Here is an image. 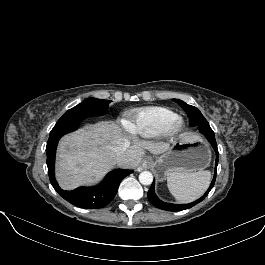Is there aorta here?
<instances>
[{
  "instance_id": "762f6f07",
  "label": "aorta",
  "mask_w": 265,
  "mask_h": 265,
  "mask_svg": "<svg viewBox=\"0 0 265 265\" xmlns=\"http://www.w3.org/2000/svg\"><path fill=\"white\" fill-rule=\"evenodd\" d=\"M139 181L143 185H150L153 182V175L149 171H143L139 175Z\"/></svg>"
}]
</instances>
